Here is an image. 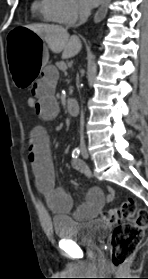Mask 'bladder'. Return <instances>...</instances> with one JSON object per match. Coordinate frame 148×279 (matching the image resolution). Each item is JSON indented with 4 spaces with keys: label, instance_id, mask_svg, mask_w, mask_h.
<instances>
[{
    "label": "bladder",
    "instance_id": "obj_1",
    "mask_svg": "<svg viewBox=\"0 0 148 279\" xmlns=\"http://www.w3.org/2000/svg\"><path fill=\"white\" fill-rule=\"evenodd\" d=\"M52 225L58 238L91 247L105 239L109 225L101 220L78 222L72 217H54Z\"/></svg>",
    "mask_w": 148,
    "mask_h": 279
}]
</instances>
